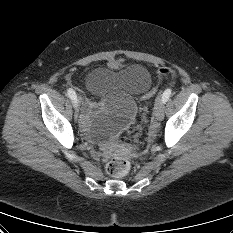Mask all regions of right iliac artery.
Masks as SVG:
<instances>
[{
	"instance_id": "right-iliac-artery-1",
	"label": "right iliac artery",
	"mask_w": 233,
	"mask_h": 233,
	"mask_svg": "<svg viewBox=\"0 0 233 233\" xmlns=\"http://www.w3.org/2000/svg\"><path fill=\"white\" fill-rule=\"evenodd\" d=\"M67 94L69 96V98L72 100V102L75 104L76 100H77V95L75 93V91L71 88L67 89Z\"/></svg>"
}]
</instances>
